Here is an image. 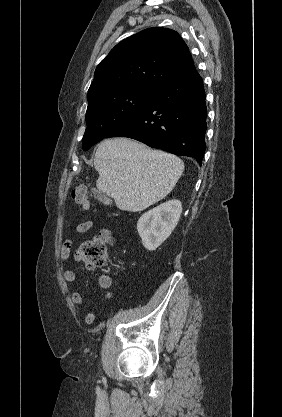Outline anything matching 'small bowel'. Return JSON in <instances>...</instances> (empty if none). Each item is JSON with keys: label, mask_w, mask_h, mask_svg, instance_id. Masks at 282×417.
I'll use <instances>...</instances> for the list:
<instances>
[{"label": "small bowel", "mask_w": 282, "mask_h": 417, "mask_svg": "<svg viewBox=\"0 0 282 417\" xmlns=\"http://www.w3.org/2000/svg\"><path fill=\"white\" fill-rule=\"evenodd\" d=\"M94 227V222L92 220H87L84 222L79 223L72 234V237L67 239L60 251V259L62 262H66L70 256L71 246H72V239L79 234L86 233L87 231L91 230ZM99 238L107 243L112 244L114 242V236L112 232L107 228H102L99 231ZM63 277L67 282H74L76 279V274L73 270L64 268L63 269ZM98 285L102 290H108L112 285L111 277L107 274H101L98 279ZM112 294L107 293L104 296V299L111 298ZM71 300L76 305L83 304V296L80 292H72ZM98 316L97 308L90 310L85 317V321L87 324H92Z\"/></svg>", "instance_id": "c3829d8e"}]
</instances>
